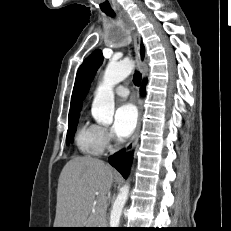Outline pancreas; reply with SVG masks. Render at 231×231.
Listing matches in <instances>:
<instances>
[{
    "label": "pancreas",
    "mask_w": 231,
    "mask_h": 231,
    "mask_svg": "<svg viewBox=\"0 0 231 231\" xmlns=\"http://www.w3.org/2000/svg\"><path fill=\"white\" fill-rule=\"evenodd\" d=\"M90 225H94L97 227H105L107 225L106 219V202L101 205L98 204L96 207V213L90 218Z\"/></svg>",
    "instance_id": "pancreas-1"
}]
</instances>
